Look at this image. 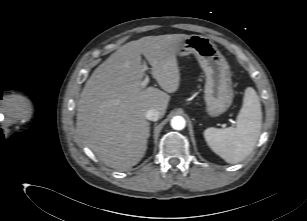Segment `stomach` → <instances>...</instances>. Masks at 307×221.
Wrapping results in <instances>:
<instances>
[{"instance_id": "obj_1", "label": "stomach", "mask_w": 307, "mask_h": 221, "mask_svg": "<svg viewBox=\"0 0 307 221\" xmlns=\"http://www.w3.org/2000/svg\"><path fill=\"white\" fill-rule=\"evenodd\" d=\"M191 53L197 58L206 76V112L211 117L219 116L231 106L234 97L228 62L216 45L202 35H188L179 45V56Z\"/></svg>"}]
</instances>
